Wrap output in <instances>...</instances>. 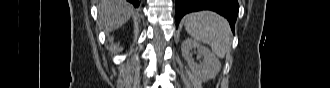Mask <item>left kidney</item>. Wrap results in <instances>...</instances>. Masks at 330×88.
Wrapping results in <instances>:
<instances>
[{"mask_svg":"<svg viewBox=\"0 0 330 88\" xmlns=\"http://www.w3.org/2000/svg\"><path fill=\"white\" fill-rule=\"evenodd\" d=\"M197 49L198 57L203 58L200 64L195 63L191 51ZM182 56L188 62L193 74L201 81L214 79L221 70V63L215 54L196 40L187 38L181 46Z\"/></svg>","mask_w":330,"mask_h":88,"instance_id":"1","label":"left kidney"}]
</instances>
